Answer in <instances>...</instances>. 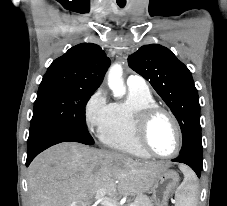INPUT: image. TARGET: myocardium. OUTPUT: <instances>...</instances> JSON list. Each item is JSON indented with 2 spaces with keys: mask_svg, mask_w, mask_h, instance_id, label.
Returning a JSON list of instances; mask_svg holds the SVG:
<instances>
[{
  "mask_svg": "<svg viewBox=\"0 0 227 206\" xmlns=\"http://www.w3.org/2000/svg\"><path fill=\"white\" fill-rule=\"evenodd\" d=\"M160 114L167 116L172 122L177 136V144L175 150L167 155L157 153L149 144L148 134L150 126L154 118ZM134 134L138 145L150 156L157 158L168 159L176 156L183 144V135L180 124L174 114L168 109L160 105H151L146 108L141 109L137 112L134 120Z\"/></svg>",
  "mask_w": 227,
  "mask_h": 206,
  "instance_id": "1",
  "label": "myocardium"
}]
</instances>
